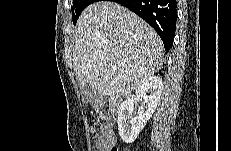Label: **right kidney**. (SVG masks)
<instances>
[{"mask_svg": "<svg viewBox=\"0 0 231 151\" xmlns=\"http://www.w3.org/2000/svg\"><path fill=\"white\" fill-rule=\"evenodd\" d=\"M163 90L162 79L152 76L143 82L135 95L120 104L118 111V131L121 139L126 143L136 140L147 121L154 113ZM141 101L137 116H132L134 104Z\"/></svg>", "mask_w": 231, "mask_h": 151, "instance_id": "right-kidney-1", "label": "right kidney"}]
</instances>
